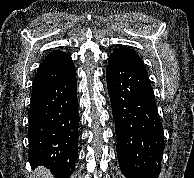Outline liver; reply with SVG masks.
<instances>
[{
  "label": "liver",
  "mask_w": 194,
  "mask_h": 178,
  "mask_svg": "<svg viewBox=\"0 0 194 178\" xmlns=\"http://www.w3.org/2000/svg\"><path fill=\"white\" fill-rule=\"evenodd\" d=\"M38 174L39 176H43L42 178H50L49 171L44 168L39 169Z\"/></svg>",
  "instance_id": "obj_1"
}]
</instances>
